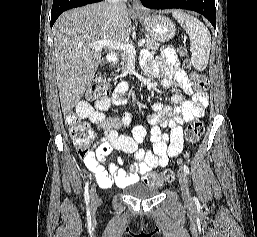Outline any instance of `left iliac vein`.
Listing matches in <instances>:
<instances>
[{
  "label": "left iliac vein",
  "instance_id": "obj_1",
  "mask_svg": "<svg viewBox=\"0 0 257 237\" xmlns=\"http://www.w3.org/2000/svg\"><path fill=\"white\" fill-rule=\"evenodd\" d=\"M178 178H179V183L181 186L183 198L184 200H189L190 199L189 179H188L187 173L182 169H180L178 172Z\"/></svg>",
  "mask_w": 257,
  "mask_h": 237
}]
</instances>
